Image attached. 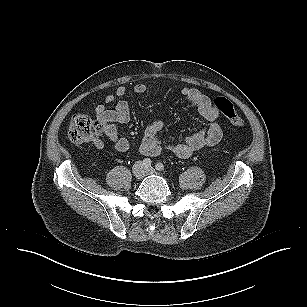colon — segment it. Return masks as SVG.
I'll list each match as a JSON object with an SVG mask.
<instances>
[{
  "label": "colon",
  "instance_id": "5ec220e1",
  "mask_svg": "<svg viewBox=\"0 0 307 307\" xmlns=\"http://www.w3.org/2000/svg\"><path fill=\"white\" fill-rule=\"evenodd\" d=\"M213 103L233 126L242 127L244 125L243 119L235 112L230 101L217 97ZM100 133L101 125L90 116L76 114L70 120L68 137L74 143L94 142L99 139Z\"/></svg>",
  "mask_w": 307,
  "mask_h": 307
}]
</instances>
